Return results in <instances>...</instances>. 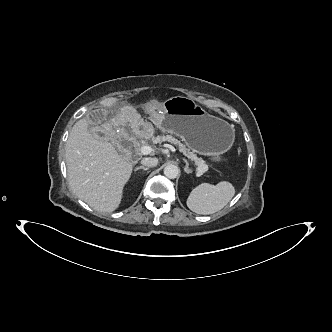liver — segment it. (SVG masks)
<instances>
[{
    "label": "liver",
    "instance_id": "1",
    "mask_svg": "<svg viewBox=\"0 0 332 332\" xmlns=\"http://www.w3.org/2000/svg\"><path fill=\"white\" fill-rule=\"evenodd\" d=\"M90 119L73 126L66 143L65 160L69 186L74 194L99 212H113L133 171V163L109 142L96 139L88 130ZM112 119L104 127L111 134Z\"/></svg>",
    "mask_w": 332,
    "mask_h": 332
}]
</instances>
